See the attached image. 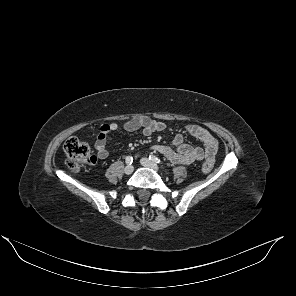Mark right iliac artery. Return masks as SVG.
<instances>
[{
    "mask_svg": "<svg viewBox=\"0 0 296 296\" xmlns=\"http://www.w3.org/2000/svg\"><path fill=\"white\" fill-rule=\"evenodd\" d=\"M125 161H126V164L131 165L132 162H133V157L132 156H127Z\"/></svg>",
    "mask_w": 296,
    "mask_h": 296,
    "instance_id": "1",
    "label": "right iliac artery"
}]
</instances>
